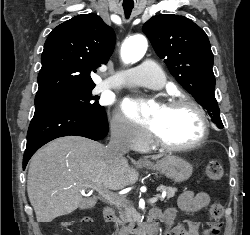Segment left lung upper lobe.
Segmentation results:
<instances>
[{
    "label": "left lung upper lobe",
    "mask_w": 250,
    "mask_h": 235,
    "mask_svg": "<svg viewBox=\"0 0 250 235\" xmlns=\"http://www.w3.org/2000/svg\"><path fill=\"white\" fill-rule=\"evenodd\" d=\"M142 31L178 83L221 129L223 123L214 95L213 54L206 33L190 19L173 14L153 16Z\"/></svg>",
    "instance_id": "left-lung-upper-lobe-1"
}]
</instances>
